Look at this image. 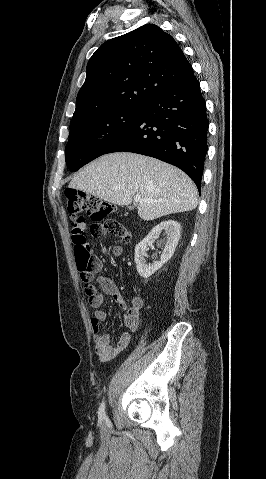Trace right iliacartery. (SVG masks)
<instances>
[{"label": "right iliac artery", "instance_id": "1", "mask_svg": "<svg viewBox=\"0 0 266 479\" xmlns=\"http://www.w3.org/2000/svg\"><path fill=\"white\" fill-rule=\"evenodd\" d=\"M98 418H99V422H100V423L106 418V414H105V402H102L101 405H100V407H99Z\"/></svg>", "mask_w": 266, "mask_h": 479}]
</instances>
